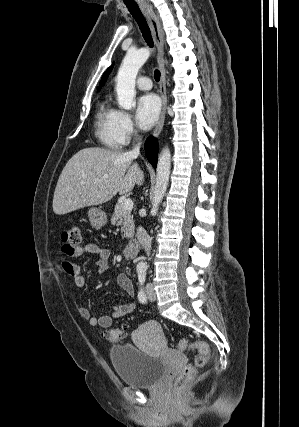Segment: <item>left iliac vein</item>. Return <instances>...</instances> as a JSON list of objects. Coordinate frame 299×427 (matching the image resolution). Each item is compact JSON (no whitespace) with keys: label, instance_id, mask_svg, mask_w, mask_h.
Wrapping results in <instances>:
<instances>
[{"label":"left iliac vein","instance_id":"1","mask_svg":"<svg viewBox=\"0 0 299 427\" xmlns=\"http://www.w3.org/2000/svg\"><path fill=\"white\" fill-rule=\"evenodd\" d=\"M146 294L150 301L154 302L156 300V293L151 283H148L146 286Z\"/></svg>","mask_w":299,"mask_h":427}]
</instances>
